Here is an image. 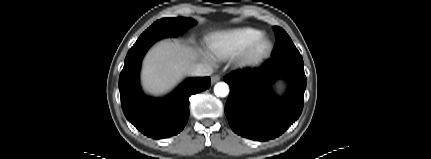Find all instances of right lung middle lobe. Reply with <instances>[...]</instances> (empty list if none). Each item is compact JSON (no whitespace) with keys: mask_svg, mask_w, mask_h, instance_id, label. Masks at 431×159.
<instances>
[{"mask_svg":"<svg viewBox=\"0 0 431 159\" xmlns=\"http://www.w3.org/2000/svg\"><path fill=\"white\" fill-rule=\"evenodd\" d=\"M194 24L195 21L191 18L177 17L160 19L145 30L136 42L152 39L158 40L164 37H175Z\"/></svg>","mask_w":431,"mask_h":159,"instance_id":"right-lung-middle-lobe-1","label":"right lung middle lobe"}]
</instances>
